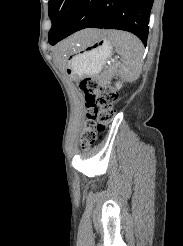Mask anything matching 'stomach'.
I'll list each match as a JSON object with an SVG mask.
<instances>
[{
	"label": "stomach",
	"instance_id": "stomach-1",
	"mask_svg": "<svg viewBox=\"0 0 183 246\" xmlns=\"http://www.w3.org/2000/svg\"><path fill=\"white\" fill-rule=\"evenodd\" d=\"M105 34L95 41L83 44L68 61V70L72 77L99 73L112 53V44Z\"/></svg>",
	"mask_w": 183,
	"mask_h": 246
}]
</instances>
